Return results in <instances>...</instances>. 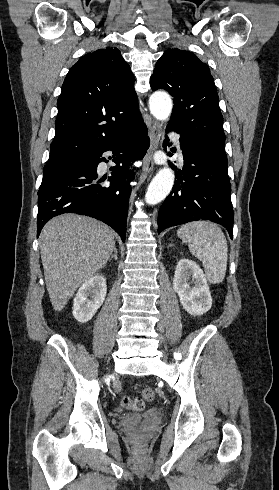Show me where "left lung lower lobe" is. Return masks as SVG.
I'll return each mask as SVG.
<instances>
[{
  "instance_id": "obj_1",
  "label": "left lung lower lobe",
  "mask_w": 279,
  "mask_h": 490,
  "mask_svg": "<svg viewBox=\"0 0 279 490\" xmlns=\"http://www.w3.org/2000/svg\"><path fill=\"white\" fill-rule=\"evenodd\" d=\"M167 129L180 134L184 166L176 173L178 180L159 211L158 233L187 222L210 220L225 227L232 239L234 212L224 146L171 124Z\"/></svg>"
}]
</instances>
